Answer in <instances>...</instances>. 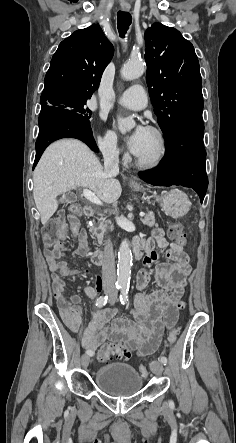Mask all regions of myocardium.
I'll return each mask as SVG.
<instances>
[{
	"label": "myocardium",
	"instance_id": "1",
	"mask_svg": "<svg viewBox=\"0 0 236 443\" xmlns=\"http://www.w3.org/2000/svg\"><path fill=\"white\" fill-rule=\"evenodd\" d=\"M148 130L151 131L157 138L159 144L158 153L151 159H144L134 154V159L139 168L151 170L159 167L166 159L168 154V144L163 132L160 129L154 126H149Z\"/></svg>",
	"mask_w": 236,
	"mask_h": 443
}]
</instances>
